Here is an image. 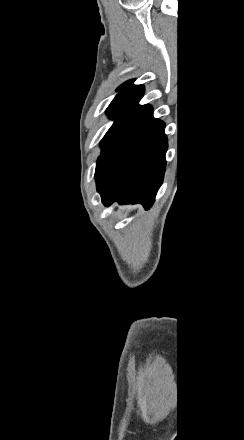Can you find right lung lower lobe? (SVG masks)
Listing matches in <instances>:
<instances>
[{
	"label": "right lung lower lobe",
	"instance_id": "1",
	"mask_svg": "<svg viewBox=\"0 0 244 440\" xmlns=\"http://www.w3.org/2000/svg\"><path fill=\"white\" fill-rule=\"evenodd\" d=\"M150 105H136L103 143L95 172L105 206L141 203L149 209L162 184L167 151L165 124L152 116Z\"/></svg>",
	"mask_w": 244,
	"mask_h": 440
}]
</instances>
